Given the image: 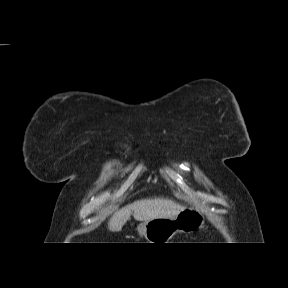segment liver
<instances>
[{"instance_id": "6515ba94", "label": "liver", "mask_w": 288, "mask_h": 288, "mask_svg": "<svg viewBox=\"0 0 288 288\" xmlns=\"http://www.w3.org/2000/svg\"><path fill=\"white\" fill-rule=\"evenodd\" d=\"M185 206L168 198H150L135 201L116 210L108 222V229L118 232L133 215L137 221H149L159 217H175Z\"/></svg>"}]
</instances>
